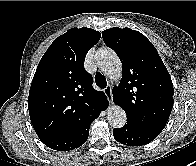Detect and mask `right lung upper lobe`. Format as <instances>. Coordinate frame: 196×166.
<instances>
[{
	"instance_id": "obj_1",
	"label": "right lung upper lobe",
	"mask_w": 196,
	"mask_h": 166,
	"mask_svg": "<svg viewBox=\"0 0 196 166\" xmlns=\"http://www.w3.org/2000/svg\"><path fill=\"white\" fill-rule=\"evenodd\" d=\"M100 37V32L90 28L69 29L41 58L28 98L30 119L39 138L82 134L97 106L107 101L102 91L92 87V76L83 67L87 52Z\"/></svg>"
}]
</instances>
